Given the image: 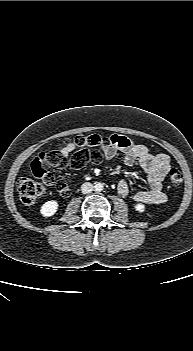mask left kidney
Segmentation results:
<instances>
[{"label": "left kidney", "instance_id": "left-kidney-1", "mask_svg": "<svg viewBox=\"0 0 193 351\" xmlns=\"http://www.w3.org/2000/svg\"><path fill=\"white\" fill-rule=\"evenodd\" d=\"M135 209L138 211V212H144L145 210V205L144 204H141V203H138L135 205Z\"/></svg>", "mask_w": 193, "mask_h": 351}]
</instances>
